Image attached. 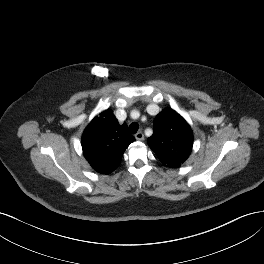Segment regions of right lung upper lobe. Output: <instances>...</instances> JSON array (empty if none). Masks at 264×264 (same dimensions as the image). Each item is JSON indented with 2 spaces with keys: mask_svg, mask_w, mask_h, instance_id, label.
I'll use <instances>...</instances> for the list:
<instances>
[{
  "mask_svg": "<svg viewBox=\"0 0 264 264\" xmlns=\"http://www.w3.org/2000/svg\"><path fill=\"white\" fill-rule=\"evenodd\" d=\"M134 141L125 124H119L111 110L96 116L82 135V149L92 168L110 174L121 162L125 149Z\"/></svg>",
  "mask_w": 264,
  "mask_h": 264,
  "instance_id": "obj_1",
  "label": "right lung upper lobe"
}]
</instances>
